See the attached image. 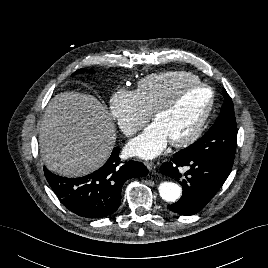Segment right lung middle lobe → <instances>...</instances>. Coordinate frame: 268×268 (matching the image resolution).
I'll use <instances>...</instances> for the list:
<instances>
[{
	"mask_svg": "<svg viewBox=\"0 0 268 268\" xmlns=\"http://www.w3.org/2000/svg\"><path fill=\"white\" fill-rule=\"evenodd\" d=\"M83 72L93 73L94 71L92 69H90V70L80 69V70H77L74 74L83 73Z\"/></svg>",
	"mask_w": 268,
	"mask_h": 268,
	"instance_id": "dd1d6c3e",
	"label": "right lung middle lobe"
}]
</instances>
